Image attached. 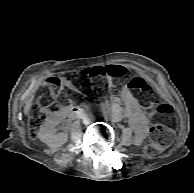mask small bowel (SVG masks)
Listing matches in <instances>:
<instances>
[{
  "label": "small bowel",
  "mask_w": 194,
  "mask_h": 193,
  "mask_svg": "<svg viewBox=\"0 0 194 193\" xmlns=\"http://www.w3.org/2000/svg\"><path fill=\"white\" fill-rule=\"evenodd\" d=\"M120 97L124 102L126 113L129 117L130 124L140 139H143L148 130V118L141 109L138 101L133 97L128 88L120 91Z\"/></svg>",
  "instance_id": "small-bowel-1"
}]
</instances>
